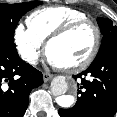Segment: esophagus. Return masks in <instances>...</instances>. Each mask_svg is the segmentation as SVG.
Returning a JSON list of instances; mask_svg holds the SVG:
<instances>
[{
	"mask_svg": "<svg viewBox=\"0 0 117 117\" xmlns=\"http://www.w3.org/2000/svg\"><path fill=\"white\" fill-rule=\"evenodd\" d=\"M53 76L48 73H43V80L44 82H48Z\"/></svg>",
	"mask_w": 117,
	"mask_h": 117,
	"instance_id": "esophagus-1",
	"label": "esophagus"
}]
</instances>
